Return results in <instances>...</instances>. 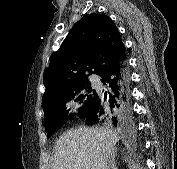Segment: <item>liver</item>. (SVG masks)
I'll return each mask as SVG.
<instances>
[{
    "label": "liver",
    "instance_id": "obj_1",
    "mask_svg": "<svg viewBox=\"0 0 177 169\" xmlns=\"http://www.w3.org/2000/svg\"><path fill=\"white\" fill-rule=\"evenodd\" d=\"M119 139L109 128L69 130L56 141L51 169H107L106 142L114 146Z\"/></svg>",
    "mask_w": 177,
    "mask_h": 169
}]
</instances>
